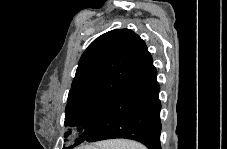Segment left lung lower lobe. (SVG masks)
<instances>
[{"mask_svg": "<svg viewBox=\"0 0 227 149\" xmlns=\"http://www.w3.org/2000/svg\"><path fill=\"white\" fill-rule=\"evenodd\" d=\"M150 53L144 45L125 87L84 142L125 138L149 149L160 146V86Z\"/></svg>", "mask_w": 227, "mask_h": 149, "instance_id": "left-lung-lower-lobe-1", "label": "left lung lower lobe"}]
</instances>
